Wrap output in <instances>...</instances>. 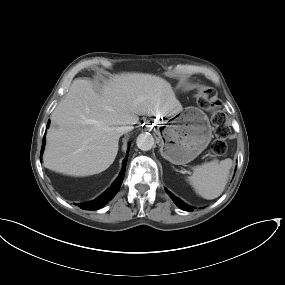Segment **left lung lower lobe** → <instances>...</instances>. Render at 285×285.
Listing matches in <instances>:
<instances>
[{"instance_id": "left-lung-lower-lobe-1", "label": "left lung lower lobe", "mask_w": 285, "mask_h": 285, "mask_svg": "<svg viewBox=\"0 0 285 285\" xmlns=\"http://www.w3.org/2000/svg\"><path fill=\"white\" fill-rule=\"evenodd\" d=\"M167 193L170 195V197L172 198L173 202L182 210L184 211H189L191 212L193 210L192 207H190L189 205H187L186 203H184L182 200H180L179 198H176L170 191H167Z\"/></svg>"}]
</instances>
